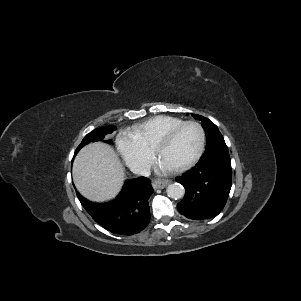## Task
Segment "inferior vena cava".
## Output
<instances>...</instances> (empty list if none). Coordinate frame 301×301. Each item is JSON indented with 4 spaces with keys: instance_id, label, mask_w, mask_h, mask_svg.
<instances>
[{
    "instance_id": "1",
    "label": "inferior vena cava",
    "mask_w": 301,
    "mask_h": 301,
    "mask_svg": "<svg viewBox=\"0 0 301 301\" xmlns=\"http://www.w3.org/2000/svg\"><path fill=\"white\" fill-rule=\"evenodd\" d=\"M131 171L139 176H149L150 175V169L146 166H141V165H137V166H133L131 168Z\"/></svg>"
}]
</instances>
